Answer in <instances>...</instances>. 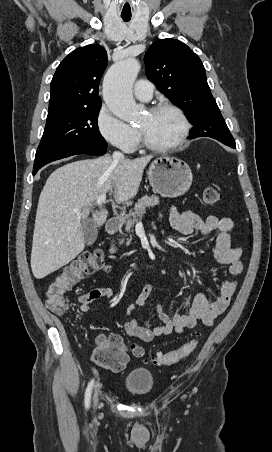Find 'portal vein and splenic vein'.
Here are the masks:
<instances>
[{
	"label": "portal vein and splenic vein",
	"mask_w": 272,
	"mask_h": 452,
	"mask_svg": "<svg viewBox=\"0 0 272 452\" xmlns=\"http://www.w3.org/2000/svg\"><path fill=\"white\" fill-rule=\"evenodd\" d=\"M106 200V193L100 195L97 200H96V204L101 206L102 204L105 203ZM76 212L80 211V209H75Z\"/></svg>",
	"instance_id": "obj_1"
}]
</instances>
